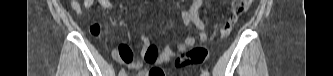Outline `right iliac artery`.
<instances>
[{
    "instance_id": "right-iliac-artery-1",
    "label": "right iliac artery",
    "mask_w": 333,
    "mask_h": 76,
    "mask_svg": "<svg viewBox=\"0 0 333 76\" xmlns=\"http://www.w3.org/2000/svg\"><path fill=\"white\" fill-rule=\"evenodd\" d=\"M125 75H126L125 70L124 69L120 70L119 76H125Z\"/></svg>"
}]
</instances>
